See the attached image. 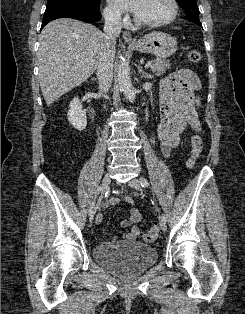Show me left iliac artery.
Here are the masks:
<instances>
[{"label": "left iliac artery", "mask_w": 245, "mask_h": 314, "mask_svg": "<svg viewBox=\"0 0 245 314\" xmlns=\"http://www.w3.org/2000/svg\"><path fill=\"white\" fill-rule=\"evenodd\" d=\"M140 184H141L142 187H148V186H149V182H148L147 179L144 178V177H141V178H140ZM152 203L154 204V201H152ZM161 219H162L164 222H166V220H167V219H166V216H165L164 214H162Z\"/></svg>", "instance_id": "44dca946"}]
</instances>
